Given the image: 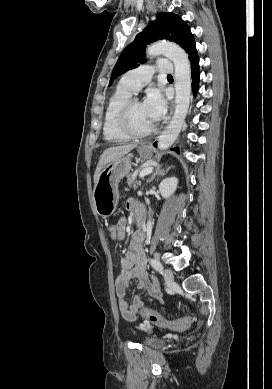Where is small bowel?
I'll return each instance as SVG.
<instances>
[{"mask_svg": "<svg viewBox=\"0 0 272 389\" xmlns=\"http://www.w3.org/2000/svg\"><path fill=\"white\" fill-rule=\"evenodd\" d=\"M128 208L135 215H140L141 206L137 201L130 200L128 202ZM117 228L119 231L117 240H122L126 231L125 218L119 220ZM142 242V233L137 232L132 236L131 251L120 258V273L115 280V291L119 311L122 317L130 322L137 319L139 310L144 307V303L139 294L133 296L132 304H129L126 299V291L131 279H137V291L146 290L152 297L158 300L161 299V290L158 281L147 271ZM146 327V325H143V328Z\"/></svg>", "mask_w": 272, "mask_h": 389, "instance_id": "c3829d8e", "label": "small bowel"}]
</instances>
